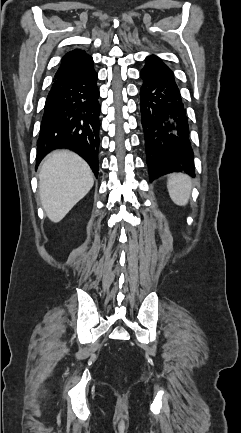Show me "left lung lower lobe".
<instances>
[{
  "instance_id": "0a47b994",
  "label": "left lung lower lobe",
  "mask_w": 241,
  "mask_h": 433,
  "mask_svg": "<svg viewBox=\"0 0 241 433\" xmlns=\"http://www.w3.org/2000/svg\"><path fill=\"white\" fill-rule=\"evenodd\" d=\"M140 77L141 124L150 180L174 171L194 176L188 117L173 72L164 65H148Z\"/></svg>"
}]
</instances>
